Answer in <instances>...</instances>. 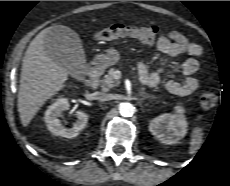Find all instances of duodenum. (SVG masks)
Wrapping results in <instances>:
<instances>
[{
  "mask_svg": "<svg viewBox=\"0 0 230 186\" xmlns=\"http://www.w3.org/2000/svg\"><path fill=\"white\" fill-rule=\"evenodd\" d=\"M88 76L90 79L89 87L92 91L96 90L103 72V66L100 63H93L88 67Z\"/></svg>",
  "mask_w": 230,
  "mask_h": 186,
  "instance_id": "410a0bca",
  "label": "duodenum"
}]
</instances>
